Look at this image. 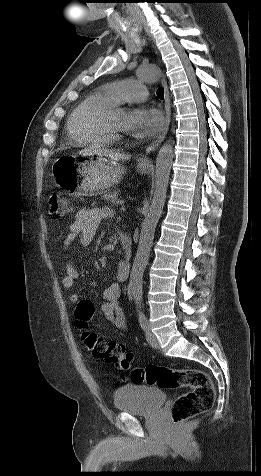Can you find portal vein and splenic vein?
I'll list each match as a JSON object with an SVG mask.
<instances>
[{
	"label": "portal vein and splenic vein",
	"instance_id": "18ae733b",
	"mask_svg": "<svg viewBox=\"0 0 261 476\" xmlns=\"http://www.w3.org/2000/svg\"><path fill=\"white\" fill-rule=\"evenodd\" d=\"M125 210H126L125 206L122 205L121 208H120V211L124 212Z\"/></svg>",
	"mask_w": 261,
	"mask_h": 476
}]
</instances>
